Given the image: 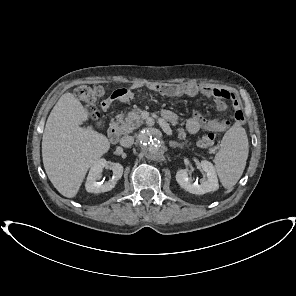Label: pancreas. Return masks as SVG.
Wrapping results in <instances>:
<instances>
[{"mask_svg":"<svg viewBox=\"0 0 296 296\" xmlns=\"http://www.w3.org/2000/svg\"><path fill=\"white\" fill-rule=\"evenodd\" d=\"M141 110L135 109L127 114H118L116 116L117 125L119 128L120 133L122 134H129L133 132L136 128L140 127L144 121L142 120L140 116ZM178 138L181 140H184L183 144L187 143L186 137V131L183 128L177 129Z\"/></svg>","mask_w":296,"mask_h":296,"instance_id":"obj_1","label":"pancreas"}]
</instances>
